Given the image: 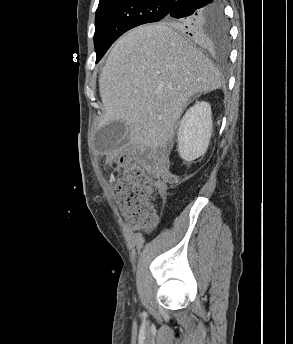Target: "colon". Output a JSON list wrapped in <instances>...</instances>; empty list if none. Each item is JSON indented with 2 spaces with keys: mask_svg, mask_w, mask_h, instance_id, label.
Wrapping results in <instances>:
<instances>
[{
  "mask_svg": "<svg viewBox=\"0 0 293 344\" xmlns=\"http://www.w3.org/2000/svg\"><path fill=\"white\" fill-rule=\"evenodd\" d=\"M121 165L127 171L117 185L119 208L133 228H149L155 224L157 217L152 179L142 168L127 160L122 161Z\"/></svg>",
  "mask_w": 293,
  "mask_h": 344,
  "instance_id": "obj_1",
  "label": "colon"
}]
</instances>
